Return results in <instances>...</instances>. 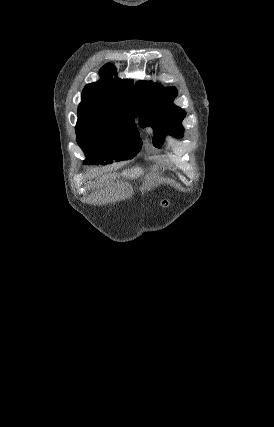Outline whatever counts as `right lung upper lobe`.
Here are the masks:
<instances>
[{
	"label": "right lung upper lobe",
	"instance_id": "right-lung-upper-lobe-1",
	"mask_svg": "<svg viewBox=\"0 0 274 427\" xmlns=\"http://www.w3.org/2000/svg\"><path fill=\"white\" fill-rule=\"evenodd\" d=\"M101 79L87 85L82 92L78 114H95L109 111H126L138 115L133 97V82L127 79H113L115 67L106 64L100 70Z\"/></svg>",
	"mask_w": 274,
	"mask_h": 427
}]
</instances>
